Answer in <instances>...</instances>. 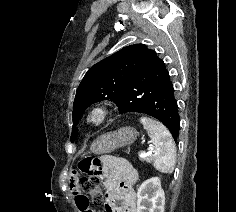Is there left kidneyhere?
<instances>
[{
	"label": "left kidney",
	"mask_w": 236,
	"mask_h": 212,
	"mask_svg": "<svg viewBox=\"0 0 236 212\" xmlns=\"http://www.w3.org/2000/svg\"><path fill=\"white\" fill-rule=\"evenodd\" d=\"M165 194L157 177L144 181L137 190L136 212H164Z\"/></svg>",
	"instance_id": "5707ae66"
}]
</instances>
